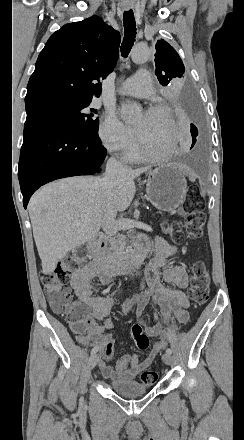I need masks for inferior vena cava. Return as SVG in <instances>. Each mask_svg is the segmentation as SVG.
I'll use <instances>...</instances> for the list:
<instances>
[{
  "mask_svg": "<svg viewBox=\"0 0 244 440\" xmlns=\"http://www.w3.org/2000/svg\"><path fill=\"white\" fill-rule=\"evenodd\" d=\"M131 168H128V166H123V164H120V162H117L115 158H109L107 164H106V170L104 174V178H102V184L104 186H114L118 174H126V172H129ZM117 216V210H106L104 216H103V222H102V228L103 232L105 234H108V236H115L117 234V226H115V218Z\"/></svg>",
  "mask_w": 244,
  "mask_h": 440,
  "instance_id": "602c4592",
  "label": "inferior vena cava"
}]
</instances>
